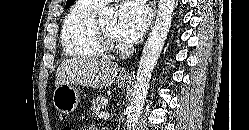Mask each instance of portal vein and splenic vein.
Wrapping results in <instances>:
<instances>
[{"label":"portal vein and splenic vein","instance_id":"1","mask_svg":"<svg viewBox=\"0 0 249 130\" xmlns=\"http://www.w3.org/2000/svg\"><path fill=\"white\" fill-rule=\"evenodd\" d=\"M100 118H102V119H107V118H109V113H108V112H102V113L100 114Z\"/></svg>","mask_w":249,"mask_h":130}]
</instances>
